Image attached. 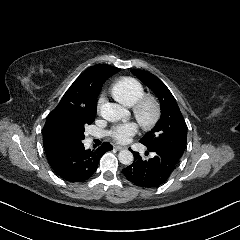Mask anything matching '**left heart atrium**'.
Listing matches in <instances>:
<instances>
[{"label": "left heart atrium", "mask_w": 240, "mask_h": 240, "mask_svg": "<svg viewBox=\"0 0 240 240\" xmlns=\"http://www.w3.org/2000/svg\"><path fill=\"white\" fill-rule=\"evenodd\" d=\"M138 126L135 123H127L115 127L110 136L119 143H126L129 139L137 133Z\"/></svg>", "instance_id": "left-heart-atrium-1"}]
</instances>
